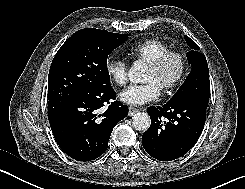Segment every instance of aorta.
I'll return each instance as SVG.
<instances>
[{
	"label": "aorta",
	"instance_id": "aorta-1",
	"mask_svg": "<svg viewBox=\"0 0 245 189\" xmlns=\"http://www.w3.org/2000/svg\"><path fill=\"white\" fill-rule=\"evenodd\" d=\"M128 77L132 83H143L144 70L142 65L134 63L128 72ZM150 123V117L147 113L138 112L132 117V125L137 131L148 130Z\"/></svg>",
	"mask_w": 245,
	"mask_h": 189
}]
</instances>
